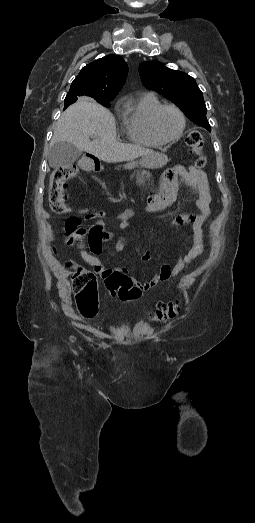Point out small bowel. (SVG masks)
I'll return each mask as SVG.
<instances>
[{
    "mask_svg": "<svg viewBox=\"0 0 255 523\" xmlns=\"http://www.w3.org/2000/svg\"><path fill=\"white\" fill-rule=\"evenodd\" d=\"M176 172L181 177V186L194 188L197 190V197L194 204L197 208L196 213H182L177 215L171 222L173 227L182 224H191V245L186 252H180L174 265L163 264L153 274L149 280L136 281V285L143 291H149L158 284L164 283L178 276L187 268L203 251L202 226L211 214V196L207 177L204 172L194 167H178ZM170 180V178H165ZM180 186L169 189L163 195L152 196L149 200L148 211L150 213L159 211L170 205L178 196ZM134 214L132 210H127L118 215V229L125 230L130 226L129 220ZM106 214L102 211L96 215H86L84 220L96 218V222L89 227H82L77 218H69L65 222V243L70 246H77L80 249L81 258L89 264L93 270L103 278L107 273L120 272L127 274L126 269L112 270L105 266L100 257L102 243L110 238V233L104 227L103 218ZM127 244L119 241L115 245L116 251H123ZM144 261H149L151 255L145 253L142 256Z\"/></svg>",
    "mask_w": 255,
    "mask_h": 523,
    "instance_id": "c3829d8e",
    "label": "small bowel"
}]
</instances>
